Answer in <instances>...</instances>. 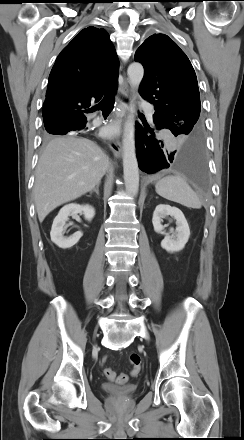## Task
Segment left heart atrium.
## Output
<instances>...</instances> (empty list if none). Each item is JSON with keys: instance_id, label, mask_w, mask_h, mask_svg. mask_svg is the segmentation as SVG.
<instances>
[{"instance_id": "left-heart-atrium-1", "label": "left heart atrium", "mask_w": 244, "mask_h": 440, "mask_svg": "<svg viewBox=\"0 0 244 440\" xmlns=\"http://www.w3.org/2000/svg\"><path fill=\"white\" fill-rule=\"evenodd\" d=\"M119 130L120 126L118 123H110L103 128L102 133L107 137H113L119 133Z\"/></svg>"}]
</instances>
